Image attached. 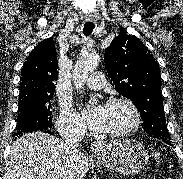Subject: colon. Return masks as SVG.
Wrapping results in <instances>:
<instances>
[{"mask_svg": "<svg viewBox=\"0 0 183 179\" xmlns=\"http://www.w3.org/2000/svg\"><path fill=\"white\" fill-rule=\"evenodd\" d=\"M156 159H160V155L159 154H156ZM165 179H170V178H165Z\"/></svg>", "mask_w": 183, "mask_h": 179, "instance_id": "1", "label": "colon"}]
</instances>
